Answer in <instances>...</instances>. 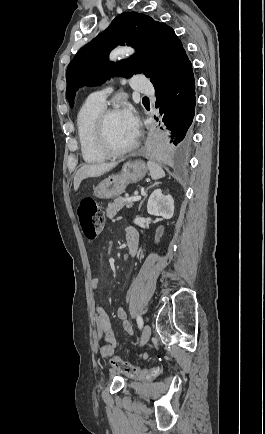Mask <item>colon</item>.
Instances as JSON below:
<instances>
[{"label":"colon","mask_w":265,"mask_h":434,"mask_svg":"<svg viewBox=\"0 0 265 434\" xmlns=\"http://www.w3.org/2000/svg\"><path fill=\"white\" fill-rule=\"evenodd\" d=\"M76 212L84 238L90 242L95 240L99 236L104 223L105 216L102 207L94 199L86 198L77 203ZM108 361H111V365H114L115 369L119 368L130 377L138 375L139 377L151 380L162 373L160 368L146 370L138 368V364L131 366L132 362L130 360L122 362V358L119 355L114 356L113 359L108 358Z\"/></svg>","instance_id":"colon-1"}]
</instances>
